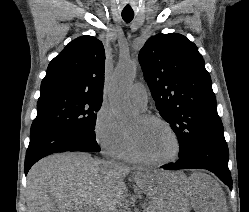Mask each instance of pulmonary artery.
I'll return each mask as SVG.
<instances>
[{
	"mask_svg": "<svg viewBox=\"0 0 249 212\" xmlns=\"http://www.w3.org/2000/svg\"><path fill=\"white\" fill-rule=\"evenodd\" d=\"M132 103L140 110H145L148 103V95L145 85L142 82H136L130 90Z\"/></svg>",
	"mask_w": 249,
	"mask_h": 212,
	"instance_id": "1",
	"label": "pulmonary artery"
}]
</instances>
